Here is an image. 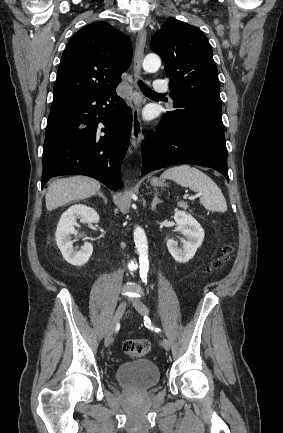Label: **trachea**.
Instances as JSON below:
<instances>
[{"instance_id":"1","label":"trachea","mask_w":283,"mask_h":433,"mask_svg":"<svg viewBox=\"0 0 283 433\" xmlns=\"http://www.w3.org/2000/svg\"><path fill=\"white\" fill-rule=\"evenodd\" d=\"M138 85H139L142 93H144V95H165L162 93L154 92L151 88H149L147 85H145V83H143L141 80L138 81Z\"/></svg>"}]
</instances>
